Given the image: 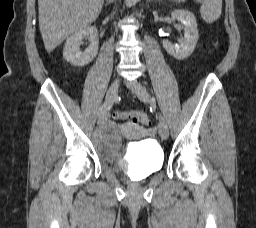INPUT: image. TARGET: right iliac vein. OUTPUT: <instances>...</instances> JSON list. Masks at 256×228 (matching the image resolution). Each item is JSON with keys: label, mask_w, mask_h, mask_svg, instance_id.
<instances>
[{"label": "right iliac vein", "mask_w": 256, "mask_h": 228, "mask_svg": "<svg viewBox=\"0 0 256 228\" xmlns=\"http://www.w3.org/2000/svg\"><path fill=\"white\" fill-rule=\"evenodd\" d=\"M120 86V79L116 78L112 84L110 85L105 100V108L103 113L99 116L98 125L99 127H103L107 121L109 110L117 98L118 90Z\"/></svg>", "instance_id": "obj_1"}]
</instances>
